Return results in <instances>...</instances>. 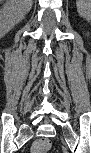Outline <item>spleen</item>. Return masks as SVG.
Here are the masks:
<instances>
[{"instance_id": "3e777b00", "label": "spleen", "mask_w": 91, "mask_h": 153, "mask_svg": "<svg viewBox=\"0 0 91 153\" xmlns=\"http://www.w3.org/2000/svg\"><path fill=\"white\" fill-rule=\"evenodd\" d=\"M77 11L80 16L89 20L91 17V1L90 0H77Z\"/></svg>"}]
</instances>
